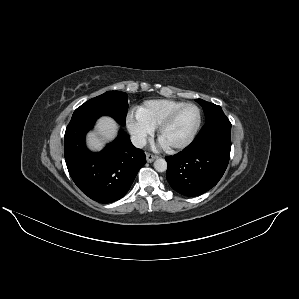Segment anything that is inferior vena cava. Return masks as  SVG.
<instances>
[{"mask_svg": "<svg viewBox=\"0 0 299 299\" xmlns=\"http://www.w3.org/2000/svg\"><path fill=\"white\" fill-rule=\"evenodd\" d=\"M131 142L137 148H143L146 145V139L140 135L131 136Z\"/></svg>", "mask_w": 299, "mask_h": 299, "instance_id": "602c4592", "label": "inferior vena cava"}]
</instances>
